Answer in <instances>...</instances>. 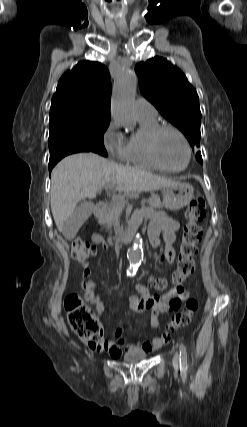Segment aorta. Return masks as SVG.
Here are the masks:
<instances>
[{
  "mask_svg": "<svg viewBox=\"0 0 247 427\" xmlns=\"http://www.w3.org/2000/svg\"><path fill=\"white\" fill-rule=\"evenodd\" d=\"M137 88V76L132 69L121 68L115 79L112 92L111 115L115 122L120 125L131 127L135 123L134 98ZM142 238L137 235L133 246L128 250V271L134 272L138 269L142 257Z\"/></svg>",
  "mask_w": 247,
  "mask_h": 427,
  "instance_id": "762f6f07",
  "label": "aorta"
}]
</instances>
